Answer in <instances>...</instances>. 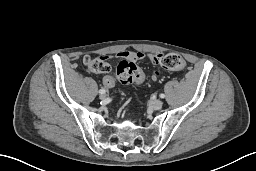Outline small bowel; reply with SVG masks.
I'll use <instances>...</instances> for the list:
<instances>
[{"label":"small bowel","instance_id":"1","mask_svg":"<svg viewBox=\"0 0 256 171\" xmlns=\"http://www.w3.org/2000/svg\"><path fill=\"white\" fill-rule=\"evenodd\" d=\"M162 56L163 54H151V53L134 52V51H127V50L120 51L117 54V57L120 59H127L131 61L147 60L153 64H160V60ZM183 68L184 66L181 69ZM151 79L153 81H157L159 79V72H154L151 75ZM103 84L108 88H112L115 85V78L112 75H106L103 78Z\"/></svg>","mask_w":256,"mask_h":171}]
</instances>
